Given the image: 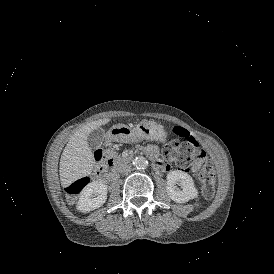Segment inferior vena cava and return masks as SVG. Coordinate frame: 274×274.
<instances>
[{
  "label": "inferior vena cava",
  "instance_id": "obj_1",
  "mask_svg": "<svg viewBox=\"0 0 274 274\" xmlns=\"http://www.w3.org/2000/svg\"><path fill=\"white\" fill-rule=\"evenodd\" d=\"M119 172L122 174H127V173L131 172V165L124 164V165L120 166Z\"/></svg>",
  "mask_w": 274,
  "mask_h": 274
}]
</instances>
